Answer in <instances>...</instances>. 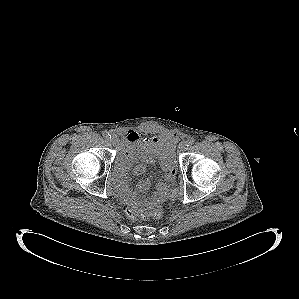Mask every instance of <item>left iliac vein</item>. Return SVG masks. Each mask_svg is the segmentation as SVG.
I'll use <instances>...</instances> for the list:
<instances>
[{
    "label": "left iliac vein",
    "mask_w": 299,
    "mask_h": 299,
    "mask_svg": "<svg viewBox=\"0 0 299 299\" xmlns=\"http://www.w3.org/2000/svg\"><path fill=\"white\" fill-rule=\"evenodd\" d=\"M179 150H180V151H186V150H187V141H182V142L179 144Z\"/></svg>",
    "instance_id": "1"
}]
</instances>
